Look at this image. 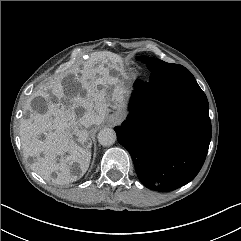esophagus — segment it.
Masks as SVG:
<instances>
[{"instance_id": "34e87169", "label": "esophagus", "mask_w": 241, "mask_h": 241, "mask_svg": "<svg viewBox=\"0 0 241 241\" xmlns=\"http://www.w3.org/2000/svg\"><path fill=\"white\" fill-rule=\"evenodd\" d=\"M108 121H109L110 123H117V122H118V119H117V117H116L115 115H110V116L108 117Z\"/></svg>"}]
</instances>
